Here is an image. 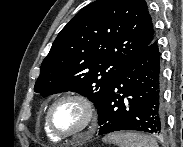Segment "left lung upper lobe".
Returning <instances> with one entry per match:
<instances>
[{"mask_svg":"<svg viewBox=\"0 0 183 147\" xmlns=\"http://www.w3.org/2000/svg\"><path fill=\"white\" fill-rule=\"evenodd\" d=\"M154 39L145 0H96L60 31L34 91L43 97L77 92L99 109L123 67Z\"/></svg>","mask_w":183,"mask_h":147,"instance_id":"left-lung-upper-lobe-1","label":"left lung upper lobe"}]
</instances>
